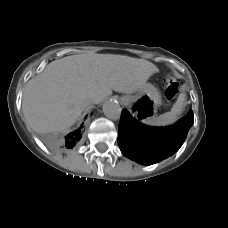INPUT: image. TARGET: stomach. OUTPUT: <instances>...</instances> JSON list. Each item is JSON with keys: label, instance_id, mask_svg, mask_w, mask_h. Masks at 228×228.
<instances>
[{"label": "stomach", "instance_id": "obj_1", "mask_svg": "<svg viewBox=\"0 0 228 228\" xmlns=\"http://www.w3.org/2000/svg\"><path fill=\"white\" fill-rule=\"evenodd\" d=\"M128 100L130 104L138 106L136 116L144 118V121H148L156 115L162 101L158 89L149 83H146L137 91L136 95L129 97Z\"/></svg>", "mask_w": 228, "mask_h": 228}]
</instances>
